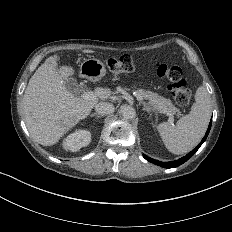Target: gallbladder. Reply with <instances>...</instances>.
Returning a JSON list of instances; mask_svg holds the SVG:
<instances>
[{
	"instance_id": "1",
	"label": "gallbladder",
	"mask_w": 232,
	"mask_h": 232,
	"mask_svg": "<svg viewBox=\"0 0 232 232\" xmlns=\"http://www.w3.org/2000/svg\"><path fill=\"white\" fill-rule=\"evenodd\" d=\"M64 86L70 92H76L77 89L79 88V85L77 84V81L74 78L65 79L64 80Z\"/></svg>"
}]
</instances>
